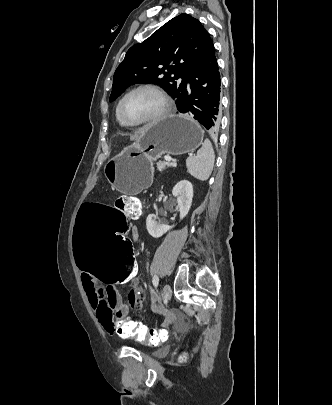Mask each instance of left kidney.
<instances>
[{"label": "left kidney", "mask_w": 332, "mask_h": 405, "mask_svg": "<svg viewBox=\"0 0 332 405\" xmlns=\"http://www.w3.org/2000/svg\"><path fill=\"white\" fill-rule=\"evenodd\" d=\"M172 194L177 198L180 220H182L187 216L191 208L193 198V185L188 180H181L174 186ZM146 227L148 233L152 237L159 238L171 228H173L174 225L168 226L163 220L159 219L157 215L149 214L146 219Z\"/></svg>", "instance_id": "1"}]
</instances>
